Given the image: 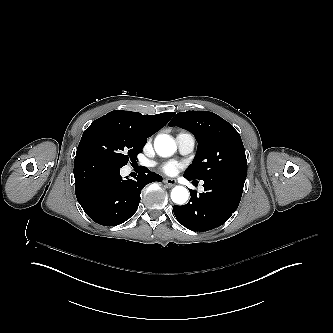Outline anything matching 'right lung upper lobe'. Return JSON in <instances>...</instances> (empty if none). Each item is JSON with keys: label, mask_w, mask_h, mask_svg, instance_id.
Listing matches in <instances>:
<instances>
[{"label": "right lung upper lobe", "mask_w": 333, "mask_h": 333, "mask_svg": "<svg viewBox=\"0 0 333 333\" xmlns=\"http://www.w3.org/2000/svg\"><path fill=\"white\" fill-rule=\"evenodd\" d=\"M174 114L175 112L142 115L137 112L115 110L95 120L90 126L97 123H110L128 132L131 136L147 142V137L165 126Z\"/></svg>", "instance_id": "cb5924a9"}]
</instances>
